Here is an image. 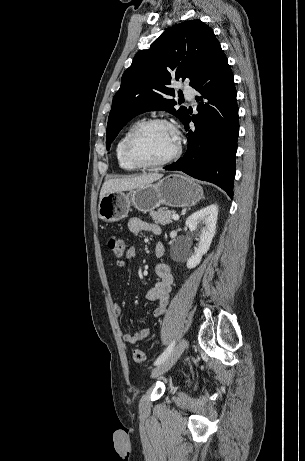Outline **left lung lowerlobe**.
<instances>
[{
  "label": "left lung lower lobe",
  "instance_id": "1",
  "mask_svg": "<svg viewBox=\"0 0 305 461\" xmlns=\"http://www.w3.org/2000/svg\"><path fill=\"white\" fill-rule=\"evenodd\" d=\"M198 114L182 121L188 131V148L177 162L164 167L212 182L232 198L235 155L239 132L234 78L221 50L210 69L195 84ZM203 98L208 102H203ZM193 121L195 128L190 129Z\"/></svg>",
  "mask_w": 305,
  "mask_h": 461
}]
</instances>
